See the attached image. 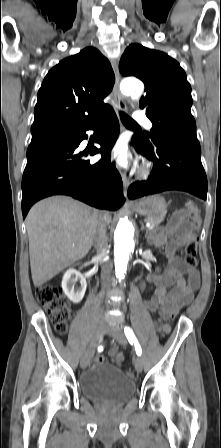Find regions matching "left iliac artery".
I'll return each mask as SVG.
<instances>
[{
  "label": "left iliac artery",
  "mask_w": 221,
  "mask_h": 448,
  "mask_svg": "<svg viewBox=\"0 0 221 448\" xmlns=\"http://www.w3.org/2000/svg\"><path fill=\"white\" fill-rule=\"evenodd\" d=\"M124 333L129 341L130 344H134L135 346V350L138 356H141L142 354V349L140 344L138 343L136 336L133 332V330L130 327H125L124 328Z\"/></svg>",
  "instance_id": "44dca946"
}]
</instances>
